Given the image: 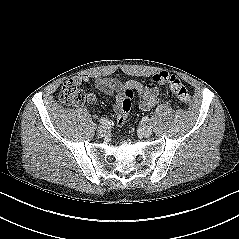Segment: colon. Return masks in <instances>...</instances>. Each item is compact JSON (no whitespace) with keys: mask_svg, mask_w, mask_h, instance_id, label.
Masks as SVG:
<instances>
[{"mask_svg":"<svg viewBox=\"0 0 239 239\" xmlns=\"http://www.w3.org/2000/svg\"><path fill=\"white\" fill-rule=\"evenodd\" d=\"M152 80L158 84L167 83L173 94L180 101L184 103L190 102L191 98L188 89L176 75L162 71L156 73L152 77ZM133 96L134 94L132 89L124 90V97L120 102V109L117 116L118 126H123L125 124L128 113L131 109ZM59 100L67 105L79 106L85 103L86 96L83 90L79 87V84L70 79L63 83L59 94Z\"/></svg>","mask_w":239,"mask_h":239,"instance_id":"colon-1","label":"colon"}]
</instances>
